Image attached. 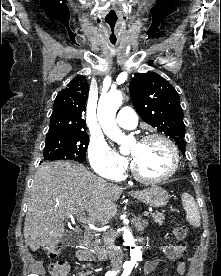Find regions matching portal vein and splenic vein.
Returning a JSON list of instances; mask_svg holds the SVG:
<instances>
[{"label": "portal vein and splenic vein", "mask_w": 221, "mask_h": 276, "mask_svg": "<svg viewBox=\"0 0 221 276\" xmlns=\"http://www.w3.org/2000/svg\"><path fill=\"white\" fill-rule=\"evenodd\" d=\"M143 215H144V216H148V215H149V212L144 211V212H143ZM76 216H77L78 221H80V222H82V223H84V224H88V225L91 224V220L85 216V213H79V214L76 215Z\"/></svg>", "instance_id": "1"}]
</instances>
